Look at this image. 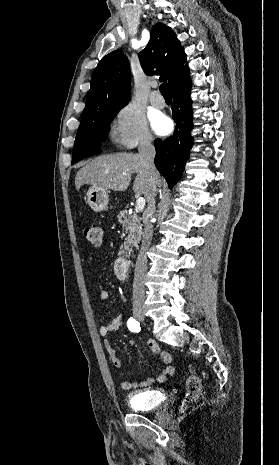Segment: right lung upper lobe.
<instances>
[{"instance_id": "right-lung-upper-lobe-1", "label": "right lung upper lobe", "mask_w": 279, "mask_h": 465, "mask_svg": "<svg viewBox=\"0 0 279 465\" xmlns=\"http://www.w3.org/2000/svg\"><path fill=\"white\" fill-rule=\"evenodd\" d=\"M138 57L144 72L147 75L161 74V78L168 80L171 91L188 77L180 41L164 24L153 27L150 41ZM129 98L130 66L128 58L119 49L103 57L95 68L80 126L92 122L104 110H120Z\"/></svg>"}]
</instances>
